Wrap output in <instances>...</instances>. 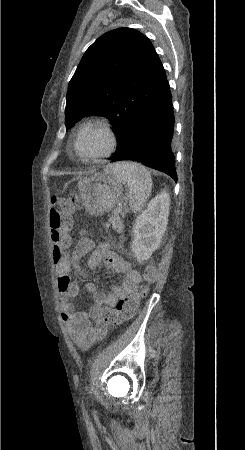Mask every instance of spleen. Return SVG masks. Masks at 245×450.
<instances>
[{"mask_svg":"<svg viewBox=\"0 0 245 450\" xmlns=\"http://www.w3.org/2000/svg\"><path fill=\"white\" fill-rule=\"evenodd\" d=\"M116 178L128 186L130 208L134 213L140 212L152 190V178L149 171L141 164L119 162L106 167Z\"/></svg>","mask_w":245,"mask_h":450,"instance_id":"3e777b00","label":"spleen"}]
</instances>
